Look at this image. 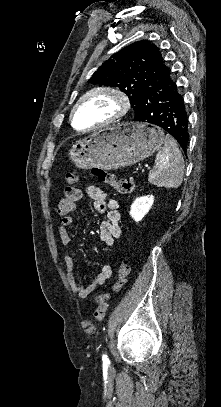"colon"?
Masks as SVG:
<instances>
[{
	"mask_svg": "<svg viewBox=\"0 0 221 407\" xmlns=\"http://www.w3.org/2000/svg\"><path fill=\"white\" fill-rule=\"evenodd\" d=\"M91 171L99 182L112 186L119 193L129 194L135 190V184L130 179H119L114 174L97 166L92 167ZM77 183V173H69L67 175V186L65 188L64 196L61 198L56 208V214L58 216L66 217L68 214H70L73 211L77 201L81 198V190ZM129 272V263L127 261L122 262L118 268L117 279L115 280L111 290L109 292H98L95 294L94 300L97 304L96 309L93 311V319L95 321H102L104 319L111 293L121 290Z\"/></svg>",
	"mask_w": 221,
	"mask_h": 407,
	"instance_id": "obj_1",
	"label": "colon"
}]
</instances>
